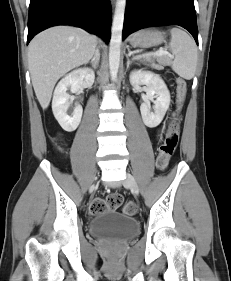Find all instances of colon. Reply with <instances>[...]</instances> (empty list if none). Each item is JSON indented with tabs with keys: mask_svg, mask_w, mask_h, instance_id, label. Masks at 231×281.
<instances>
[{
	"mask_svg": "<svg viewBox=\"0 0 231 281\" xmlns=\"http://www.w3.org/2000/svg\"><path fill=\"white\" fill-rule=\"evenodd\" d=\"M187 92V84L184 79H176V101L178 109H181ZM179 141V125L173 122L165 135L164 141L159 147L156 159L157 168L166 170L171 157L173 156ZM123 204V197L118 193H112L105 199L93 198L89 202V211L92 214L102 212L106 209H117ZM123 212L128 215L137 213V206L132 201H128L123 205Z\"/></svg>",
	"mask_w": 231,
	"mask_h": 281,
	"instance_id": "colon-1",
	"label": "colon"
}]
</instances>
